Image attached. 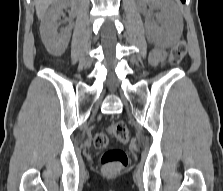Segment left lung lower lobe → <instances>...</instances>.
<instances>
[{"label": "left lung lower lobe", "instance_id": "0a47b994", "mask_svg": "<svg viewBox=\"0 0 223 191\" xmlns=\"http://www.w3.org/2000/svg\"><path fill=\"white\" fill-rule=\"evenodd\" d=\"M183 3L185 2V0H181Z\"/></svg>", "mask_w": 223, "mask_h": 191}]
</instances>
